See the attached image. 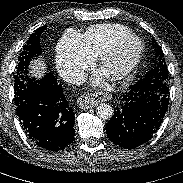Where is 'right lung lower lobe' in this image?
I'll return each mask as SVG.
<instances>
[{
    "label": "right lung lower lobe",
    "instance_id": "obj_1",
    "mask_svg": "<svg viewBox=\"0 0 183 183\" xmlns=\"http://www.w3.org/2000/svg\"><path fill=\"white\" fill-rule=\"evenodd\" d=\"M14 101L20 124L37 147L60 151L73 142L75 116L52 73L40 80L23 77L15 85Z\"/></svg>",
    "mask_w": 183,
    "mask_h": 183
}]
</instances>
